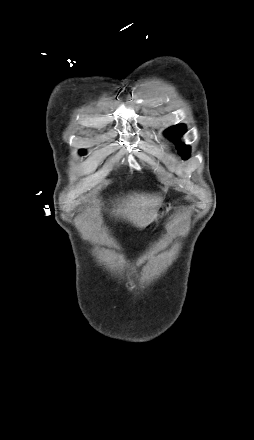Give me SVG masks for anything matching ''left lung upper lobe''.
<instances>
[{
	"instance_id": "left-lung-upper-lobe-1",
	"label": "left lung upper lobe",
	"mask_w": 254,
	"mask_h": 440,
	"mask_svg": "<svg viewBox=\"0 0 254 440\" xmlns=\"http://www.w3.org/2000/svg\"><path fill=\"white\" fill-rule=\"evenodd\" d=\"M186 132V127L184 124L172 126L165 131V135L168 139L175 141L176 148L178 153L183 157V159H188L190 154V146L185 145L184 143L179 142V137L182 136Z\"/></svg>"
}]
</instances>
